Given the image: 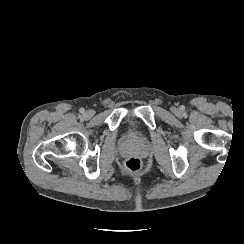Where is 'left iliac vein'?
<instances>
[{
    "label": "left iliac vein",
    "mask_w": 244,
    "mask_h": 244,
    "mask_svg": "<svg viewBox=\"0 0 244 244\" xmlns=\"http://www.w3.org/2000/svg\"><path fill=\"white\" fill-rule=\"evenodd\" d=\"M174 113L176 115H181V110L179 108H174Z\"/></svg>",
    "instance_id": "4c4485c4"
}]
</instances>
